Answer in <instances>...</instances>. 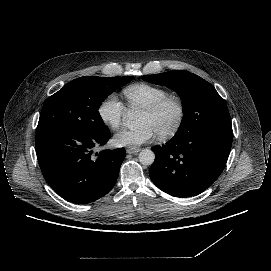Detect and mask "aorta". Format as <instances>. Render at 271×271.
Listing matches in <instances>:
<instances>
[{"instance_id": "obj_1", "label": "aorta", "mask_w": 271, "mask_h": 271, "mask_svg": "<svg viewBox=\"0 0 271 271\" xmlns=\"http://www.w3.org/2000/svg\"><path fill=\"white\" fill-rule=\"evenodd\" d=\"M125 124L129 129H134L137 127L141 121L140 114L133 112V111H127L124 114ZM155 160V154L153 151L149 149H144L139 154V161L144 166H150L154 163Z\"/></svg>"}]
</instances>
